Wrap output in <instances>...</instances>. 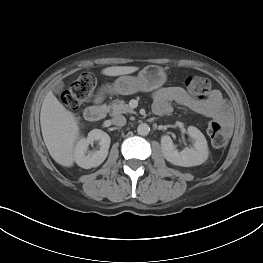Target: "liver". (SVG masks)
<instances>
[{
	"label": "liver",
	"instance_id": "6515ba94",
	"mask_svg": "<svg viewBox=\"0 0 263 263\" xmlns=\"http://www.w3.org/2000/svg\"><path fill=\"white\" fill-rule=\"evenodd\" d=\"M136 66H112L102 70L103 75L119 76L134 73ZM43 140L51 157L60 165L71 167L74 164V146L79 134L75 115L49 91L44 98L40 113Z\"/></svg>",
	"mask_w": 263,
	"mask_h": 263
}]
</instances>
